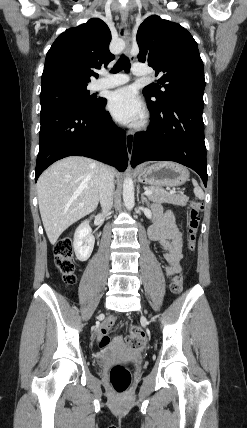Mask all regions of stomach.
Here are the masks:
<instances>
[{
	"label": "stomach",
	"instance_id": "1",
	"mask_svg": "<svg viewBox=\"0 0 247 428\" xmlns=\"http://www.w3.org/2000/svg\"><path fill=\"white\" fill-rule=\"evenodd\" d=\"M136 173L141 183L152 186L177 187L183 185L189 178V171L185 166L169 161L141 166Z\"/></svg>",
	"mask_w": 247,
	"mask_h": 428
}]
</instances>
